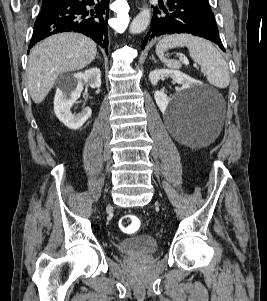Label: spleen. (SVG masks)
Wrapping results in <instances>:
<instances>
[{
	"label": "spleen",
	"mask_w": 267,
	"mask_h": 301,
	"mask_svg": "<svg viewBox=\"0 0 267 301\" xmlns=\"http://www.w3.org/2000/svg\"><path fill=\"white\" fill-rule=\"evenodd\" d=\"M186 46L190 57L201 67L208 82L217 88H226L230 83L229 69L221 53L207 40L189 34H175L164 37L156 45L159 59L171 69H180L181 63L167 59L164 52L171 48Z\"/></svg>",
	"instance_id": "3e777b00"
}]
</instances>
